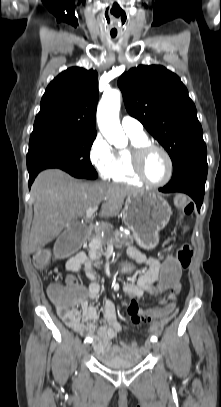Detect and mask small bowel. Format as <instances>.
Instances as JSON below:
<instances>
[{
    "mask_svg": "<svg viewBox=\"0 0 221 407\" xmlns=\"http://www.w3.org/2000/svg\"><path fill=\"white\" fill-rule=\"evenodd\" d=\"M130 257L139 264H144L146 267L138 275L136 282H125L123 291L131 298L128 305V314L133 325H142L145 323V318L142 317L150 308L143 309L138 306L136 299L141 298L145 293L154 294V297L159 296L163 292H155L152 286L158 283L161 273V261L155 257H148L137 249L129 250ZM81 267L84 268L86 276L89 279V284L78 291L77 276ZM42 268V267H41ZM66 268L69 272L67 284L73 286L76 290L77 305L68 314H59L68 327L73 329L81 336H86L92 339L94 350L106 357H123L126 359L139 358L147 349V346L138 347L135 343L113 344V340L122 330V325L116 316L115 305L112 301L106 300L102 318L103 324L98 328L96 323L99 320V314L93 302L97 300L102 284L100 278L95 273L93 266L85 252H78L67 261ZM181 291V285L174 286L173 292H169V296L160 297L159 305L167 306L171 300H177V295ZM169 299V301H168ZM169 302V303H168ZM169 318H160L153 320L150 328V334L159 333L166 323L176 314L177 307Z\"/></svg>",
    "mask_w": 221,
    "mask_h": 407,
    "instance_id": "c3829d8e",
    "label": "small bowel"
}]
</instances>
